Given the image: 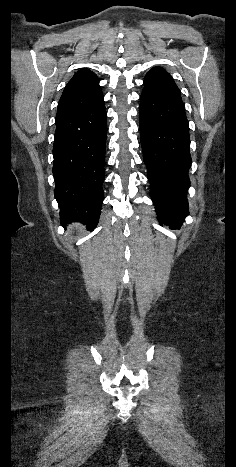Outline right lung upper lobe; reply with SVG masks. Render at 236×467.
Returning <instances> with one entry per match:
<instances>
[{"mask_svg": "<svg viewBox=\"0 0 236 467\" xmlns=\"http://www.w3.org/2000/svg\"><path fill=\"white\" fill-rule=\"evenodd\" d=\"M102 97L97 75L87 68L79 70L68 82L62 93L56 121L87 109Z\"/></svg>", "mask_w": 236, "mask_h": 467, "instance_id": "obj_1", "label": "right lung upper lobe"}]
</instances>
